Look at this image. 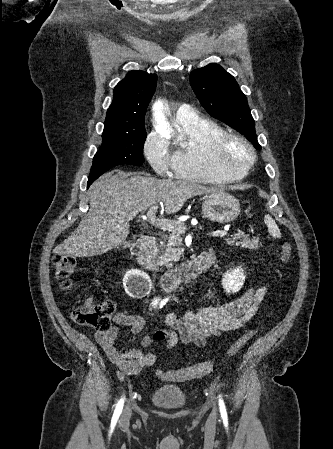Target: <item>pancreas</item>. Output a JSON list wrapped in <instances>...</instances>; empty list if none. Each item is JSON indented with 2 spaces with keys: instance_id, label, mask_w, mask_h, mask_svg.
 <instances>
[{
  "instance_id": "cf45deb5",
  "label": "pancreas",
  "mask_w": 333,
  "mask_h": 449,
  "mask_svg": "<svg viewBox=\"0 0 333 449\" xmlns=\"http://www.w3.org/2000/svg\"><path fill=\"white\" fill-rule=\"evenodd\" d=\"M183 229L181 231L172 232L167 238V243L158 250L157 262L159 264L171 266L172 262H177L180 259L183 251L180 248H175V246H180L182 244L181 235L183 234ZM226 243L229 245L235 244L236 246H241L245 249L259 248V239L255 237L250 238L248 234H245V232L242 231L235 233L232 239H226Z\"/></svg>"
}]
</instances>
